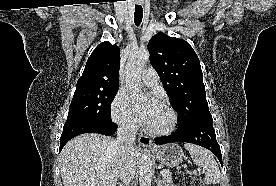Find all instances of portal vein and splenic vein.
Returning <instances> with one entry per match:
<instances>
[{"label":"portal vein and splenic vein","mask_w":276,"mask_h":186,"mask_svg":"<svg viewBox=\"0 0 276 186\" xmlns=\"http://www.w3.org/2000/svg\"><path fill=\"white\" fill-rule=\"evenodd\" d=\"M187 173L196 174V171H194V172H189V171H187ZM160 174L162 175V177H165V176H168V175H169V171H168V170H162Z\"/></svg>","instance_id":"obj_1"}]
</instances>
